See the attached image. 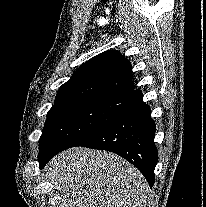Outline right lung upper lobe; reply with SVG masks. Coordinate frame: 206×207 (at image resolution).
I'll use <instances>...</instances> for the list:
<instances>
[{"instance_id":"1","label":"right lung upper lobe","mask_w":206,"mask_h":207,"mask_svg":"<svg viewBox=\"0 0 206 207\" xmlns=\"http://www.w3.org/2000/svg\"><path fill=\"white\" fill-rule=\"evenodd\" d=\"M132 66L120 52L105 51L83 64L63 84L57 101L88 97L128 96L134 90Z\"/></svg>"}]
</instances>
